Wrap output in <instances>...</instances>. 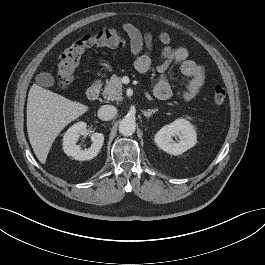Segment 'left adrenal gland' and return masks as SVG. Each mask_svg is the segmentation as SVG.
Here are the masks:
<instances>
[{"label": "left adrenal gland", "mask_w": 265, "mask_h": 265, "mask_svg": "<svg viewBox=\"0 0 265 265\" xmlns=\"http://www.w3.org/2000/svg\"><path fill=\"white\" fill-rule=\"evenodd\" d=\"M158 109H148L147 111H143V114L146 118L151 117L152 114L156 113Z\"/></svg>", "instance_id": "obj_1"}]
</instances>
